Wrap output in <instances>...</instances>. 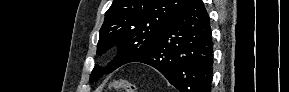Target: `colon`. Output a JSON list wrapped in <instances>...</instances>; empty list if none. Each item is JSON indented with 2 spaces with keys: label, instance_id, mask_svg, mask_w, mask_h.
Returning <instances> with one entry per match:
<instances>
[{
  "label": "colon",
  "instance_id": "obj_1",
  "mask_svg": "<svg viewBox=\"0 0 289 92\" xmlns=\"http://www.w3.org/2000/svg\"><path fill=\"white\" fill-rule=\"evenodd\" d=\"M113 89L116 91L136 92V87L129 80H118L113 84Z\"/></svg>",
  "mask_w": 289,
  "mask_h": 92
}]
</instances>
